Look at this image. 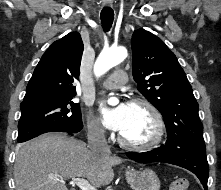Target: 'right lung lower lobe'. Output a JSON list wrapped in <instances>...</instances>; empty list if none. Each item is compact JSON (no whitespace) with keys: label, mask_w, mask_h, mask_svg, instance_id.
Masks as SVG:
<instances>
[{"label":"right lung lower lobe","mask_w":221,"mask_h":190,"mask_svg":"<svg viewBox=\"0 0 221 190\" xmlns=\"http://www.w3.org/2000/svg\"><path fill=\"white\" fill-rule=\"evenodd\" d=\"M66 133H68V134H70V135H76V134H78V132H76V133L66 132Z\"/></svg>","instance_id":"1"}]
</instances>
